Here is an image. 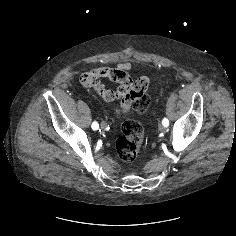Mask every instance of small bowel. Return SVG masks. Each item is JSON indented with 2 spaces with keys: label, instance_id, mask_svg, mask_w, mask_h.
Wrapping results in <instances>:
<instances>
[{
  "label": "small bowel",
  "instance_id": "c3829d8e",
  "mask_svg": "<svg viewBox=\"0 0 236 236\" xmlns=\"http://www.w3.org/2000/svg\"><path fill=\"white\" fill-rule=\"evenodd\" d=\"M131 68L132 65L129 62H121L115 67H99L96 70L83 73L80 81L84 87L95 91L105 101L119 98L118 112L121 115H126L129 112V107L145 92L149 83V78L146 75H141L138 80L134 81V74L128 72ZM99 78H107L119 83L117 91L106 90Z\"/></svg>",
  "mask_w": 236,
  "mask_h": 236
}]
</instances>
